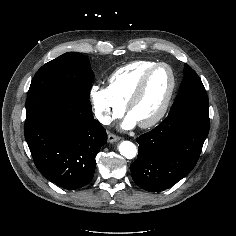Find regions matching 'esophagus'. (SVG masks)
<instances>
[{"label":"esophagus","instance_id":"1","mask_svg":"<svg viewBox=\"0 0 236 236\" xmlns=\"http://www.w3.org/2000/svg\"><path fill=\"white\" fill-rule=\"evenodd\" d=\"M119 140H120V137L117 136V135H114L112 133H110L108 135V139H107L108 143H113V142H116V141H119Z\"/></svg>","mask_w":236,"mask_h":236}]
</instances>
